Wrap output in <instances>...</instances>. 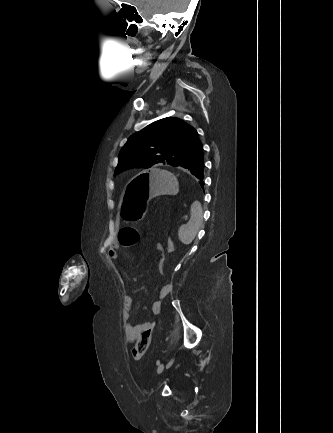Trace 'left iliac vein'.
I'll return each mask as SVG.
<instances>
[{
    "label": "left iliac vein",
    "instance_id": "1",
    "mask_svg": "<svg viewBox=\"0 0 333 433\" xmlns=\"http://www.w3.org/2000/svg\"><path fill=\"white\" fill-rule=\"evenodd\" d=\"M164 370V364H160L157 368V373L160 374Z\"/></svg>",
    "mask_w": 333,
    "mask_h": 433
}]
</instances>
